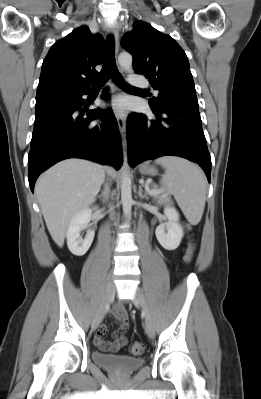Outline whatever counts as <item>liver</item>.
I'll list each match as a JSON object with an SVG mask.
<instances>
[{"label":"liver","instance_id":"6515ba94","mask_svg":"<svg viewBox=\"0 0 261 399\" xmlns=\"http://www.w3.org/2000/svg\"><path fill=\"white\" fill-rule=\"evenodd\" d=\"M106 172L115 176L111 167L83 159H67L38 179L35 193L48 231L59 247L64 245L71 218L95 201Z\"/></svg>","mask_w":261,"mask_h":399}]
</instances>
